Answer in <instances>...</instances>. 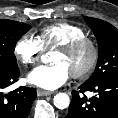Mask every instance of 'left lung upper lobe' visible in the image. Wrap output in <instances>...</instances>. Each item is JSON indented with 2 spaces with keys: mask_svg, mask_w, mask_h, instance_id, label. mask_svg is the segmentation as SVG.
<instances>
[{
  "mask_svg": "<svg viewBox=\"0 0 118 118\" xmlns=\"http://www.w3.org/2000/svg\"><path fill=\"white\" fill-rule=\"evenodd\" d=\"M98 41V62L92 76L86 81L95 84L118 77V30L111 24L92 17H84Z\"/></svg>",
  "mask_w": 118,
  "mask_h": 118,
  "instance_id": "5c2ea615",
  "label": "left lung upper lobe"
}]
</instances>
